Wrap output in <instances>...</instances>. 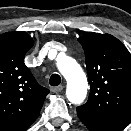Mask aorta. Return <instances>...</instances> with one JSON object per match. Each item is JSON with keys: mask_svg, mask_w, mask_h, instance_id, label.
Wrapping results in <instances>:
<instances>
[{"mask_svg": "<svg viewBox=\"0 0 131 131\" xmlns=\"http://www.w3.org/2000/svg\"><path fill=\"white\" fill-rule=\"evenodd\" d=\"M60 73L67 81L66 96L73 104H80L87 94V78L80 65L70 57H63L57 61Z\"/></svg>", "mask_w": 131, "mask_h": 131, "instance_id": "762f6f07", "label": "aorta"}]
</instances>
